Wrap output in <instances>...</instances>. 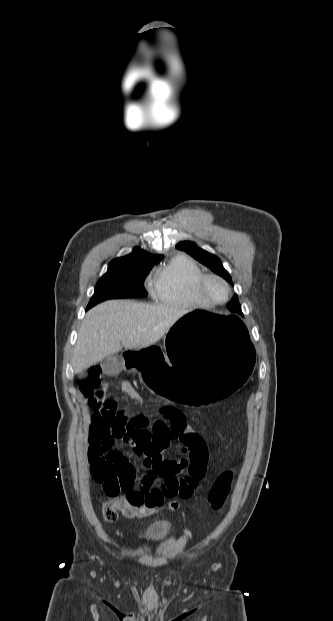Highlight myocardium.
I'll return each mask as SVG.
<instances>
[{"mask_svg":"<svg viewBox=\"0 0 333 621\" xmlns=\"http://www.w3.org/2000/svg\"><path fill=\"white\" fill-rule=\"evenodd\" d=\"M209 280H217L221 282L225 288V295L221 300L212 298L206 290V285ZM197 293L199 297L209 306H216L224 304L228 301L231 294V286L229 282L220 275L217 274H204L197 282Z\"/></svg>","mask_w":333,"mask_h":621,"instance_id":"myocardium-1","label":"myocardium"}]
</instances>
